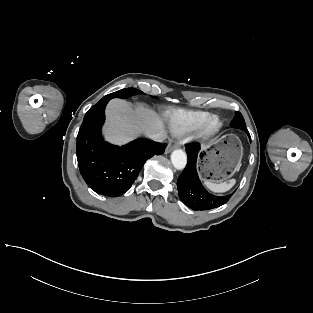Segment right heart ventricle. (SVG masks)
I'll use <instances>...</instances> for the list:
<instances>
[{
  "label": "right heart ventricle",
  "instance_id": "right-heart-ventricle-1",
  "mask_svg": "<svg viewBox=\"0 0 313 313\" xmlns=\"http://www.w3.org/2000/svg\"><path fill=\"white\" fill-rule=\"evenodd\" d=\"M210 115L206 112L179 111L170 120L171 131L176 135H184L198 129Z\"/></svg>",
  "mask_w": 313,
  "mask_h": 313
}]
</instances>
